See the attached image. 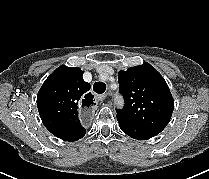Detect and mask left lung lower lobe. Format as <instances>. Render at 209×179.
<instances>
[{"mask_svg":"<svg viewBox=\"0 0 209 179\" xmlns=\"http://www.w3.org/2000/svg\"><path fill=\"white\" fill-rule=\"evenodd\" d=\"M117 120H118L121 130L134 139L146 140L158 134L154 131H151L143 127L137 126L133 123H130L129 121L121 117L117 116Z\"/></svg>","mask_w":209,"mask_h":179,"instance_id":"obj_1","label":"left lung lower lobe"}]
</instances>
